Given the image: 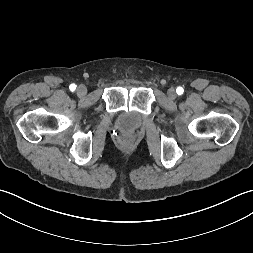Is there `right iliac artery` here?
<instances>
[{"mask_svg": "<svg viewBox=\"0 0 253 253\" xmlns=\"http://www.w3.org/2000/svg\"><path fill=\"white\" fill-rule=\"evenodd\" d=\"M69 88H70L71 91H74L76 89V85L75 84H71Z\"/></svg>", "mask_w": 253, "mask_h": 253, "instance_id": "right-iliac-artery-1", "label": "right iliac artery"}]
</instances>
